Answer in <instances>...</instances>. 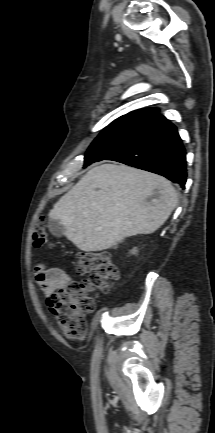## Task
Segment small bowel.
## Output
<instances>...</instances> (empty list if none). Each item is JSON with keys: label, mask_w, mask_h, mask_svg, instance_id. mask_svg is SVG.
Instances as JSON below:
<instances>
[{"label": "small bowel", "mask_w": 215, "mask_h": 433, "mask_svg": "<svg viewBox=\"0 0 215 433\" xmlns=\"http://www.w3.org/2000/svg\"><path fill=\"white\" fill-rule=\"evenodd\" d=\"M35 280L46 296L65 288L71 281L69 274L58 267L40 264L35 268Z\"/></svg>", "instance_id": "small-bowel-1"}]
</instances>
